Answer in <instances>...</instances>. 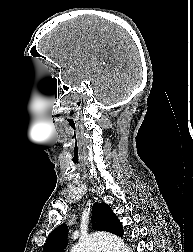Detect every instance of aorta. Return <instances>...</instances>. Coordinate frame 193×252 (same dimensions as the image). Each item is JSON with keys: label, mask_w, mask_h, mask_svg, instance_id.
Masks as SVG:
<instances>
[{"label": "aorta", "mask_w": 193, "mask_h": 252, "mask_svg": "<svg viewBox=\"0 0 193 252\" xmlns=\"http://www.w3.org/2000/svg\"><path fill=\"white\" fill-rule=\"evenodd\" d=\"M129 252L124 241L110 234H93L82 238L71 248V252Z\"/></svg>", "instance_id": "762f6f07"}]
</instances>
